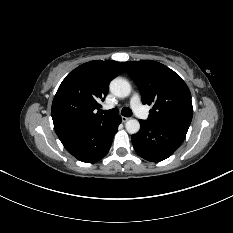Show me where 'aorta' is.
<instances>
[{
  "instance_id": "obj_1",
  "label": "aorta",
  "mask_w": 233,
  "mask_h": 233,
  "mask_svg": "<svg viewBox=\"0 0 233 233\" xmlns=\"http://www.w3.org/2000/svg\"><path fill=\"white\" fill-rule=\"evenodd\" d=\"M110 91L117 97L125 98L131 93V85L126 79L117 77L110 82ZM125 127L128 133L135 134L140 130V123L136 119H130Z\"/></svg>"
}]
</instances>
